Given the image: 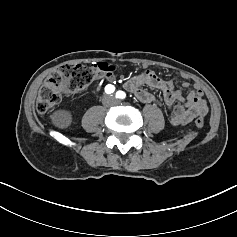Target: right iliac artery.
I'll return each instance as SVG.
<instances>
[{
  "mask_svg": "<svg viewBox=\"0 0 237 237\" xmlns=\"http://www.w3.org/2000/svg\"><path fill=\"white\" fill-rule=\"evenodd\" d=\"M115 91V87L111 84H108L106 87H105V92L107 94H111Z\"/></svg>",
  "mask_w": 237,
  "mask_h": 237,
  "instance_id": "right-iliac-artery-1",
  "label": "right iliac artery"
}]
</instances>
